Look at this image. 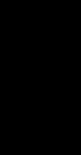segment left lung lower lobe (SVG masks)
Listing matches in <instances>:
<instances>
[{
  "mask_svg": "<svg viewBox=\"0 0 81 155\" xmlns=\"http://www.w3.org/2000/svg\"><path fill=\"white\" fill-rule=\"evenodd\" d=\"M56 120L60 121L62 124L71 127L79 128L80 125V115L68 110L67 108H62L56 112Z\"/></svg>",
  "mask_w": 81,
  "mask_h": 155,
  "instance_id": "obj_1",
  "label": "left lung lower lobe"
}]
</instances>
